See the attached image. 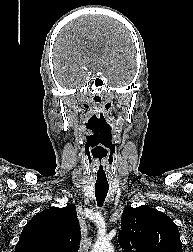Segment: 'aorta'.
<instances>
[{
  "mask_svg": "<svg viewBox=\"0 0 193 252\" xmlns=\"http://www.w3.org/2000/svg\"><path fill=\"white\" fill-rule=\"evenodd\" d=\"M91 252H114V248L109 241L97 240Z\"/></svg>",
  "mask_w": 193,
  "mask_h": 252,
  "instance_id": "762f6f07",
  "label": "aorta"
}]
</instances>
